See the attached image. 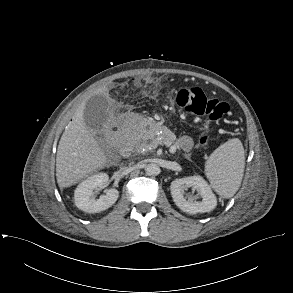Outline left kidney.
<instances>
[{
  "label": "left kidney",
  "mask_w": 293,
  "mask_h": 293,
  "mask_svg": "<svg viewBox=\"0 0 293 293\" xmlns=\"http://www.w3.org/2000/svg\"><path fill=\"white\" fill-rule=\"evenodd\" d=\"M190 187L198 191L202 198L201 201H193L192 197L185 196V190ZM170 190L175 204L189 214L210 212L217 205L215 194L203 177L199 175L175 179L171 183Z\"/></svg>",
  "instance_id": "5707ae66"
}]
</instances>
